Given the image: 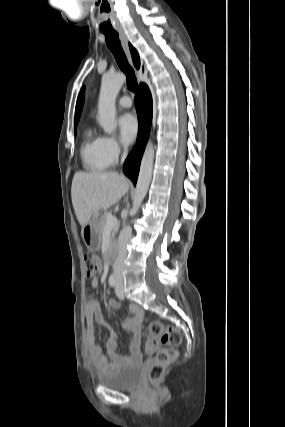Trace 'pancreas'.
Returning <instances> with one entry per match:
<instances>
[{"label":"pancreas","mask_w":285,"mask_h":427,"mask_svg":"<svg viewBox=\"0 0 285 427\" xmlns=\"http://www.w3.org/2000/svg\"><path fill=\"white\" fill-rule=\"evenodd\" d=\"M107 216H108V213L107 212H104V214L101 216V218L99 219V222H98V229H99V232L102 234L103 233V231H104V227H105V225H106V221H107ZM118 229H119V225H117L116 227H114L113 229H112V233H111V241H113L114 240V238H115V235H116V233L118 232Z\"/></svg>","instance_id":"cf45deb5"}]
</instances>
